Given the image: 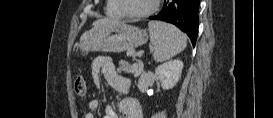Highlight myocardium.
<instances>
[{
  "label": "myocardium",
  "instance_id": "myocardium-1",
  "mask_svg": "<svg viewBox=\"0 0 273 118\" xmlns=\"http://www.w3.org/2000/svg\"><path fill=\"white\" fill-rule=\"evenodd\" d=\"M118 4L126 17L132 18V19H142V18H147L151 16L158 9L159 0H154L150 9L143 12H139V13L128 11L125 0H118Z\"/></svg>",
  "mask_w": 273,
  "mask_h": 118
}]
</instances>
